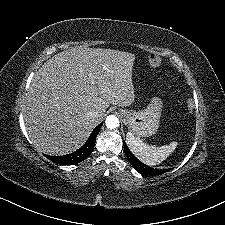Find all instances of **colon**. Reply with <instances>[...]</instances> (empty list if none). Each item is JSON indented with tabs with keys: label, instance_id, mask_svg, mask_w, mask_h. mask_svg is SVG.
<instances>
[{
	"label": "colon",
	"instance_id": "obj_1",
	"mask_svg": "<svg viewBox=\"0 0 225 225\" xmlns=\"http://www.w3.org/2000/svg\"><path fill=\"white\" fill-rule=\"evenodd\" d=\"M149 63L151 66H154V67H157L161 64V59L155 55H152L150 58H149Z\"/></svg>",
	"mask_w": 225,
	"mask_h": 225
}]
</instances>
